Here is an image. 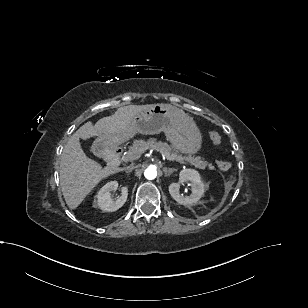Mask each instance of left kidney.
Returning a JSON list of instances; mask_svg holds the SVG:
<instances>
[{"instance_id":"1","label":"left kidney","mask_w":308,"mask_h":308,"mask_svg":"<svg viewBox=\"0 0 308 308\" xmlns=\"http://www.w3.org/2000/svg\"><path fill=\"white\" fill-rule=\"evenodd\" d=\"M189 182L192 194L190 196H183L180 194V184ZM205 185L201 181L200 175L196 170L185 169L179 174V182L172 183L169 186V193L176 202L182 205L196 204L204 195Z\"/></svg>"}]
</instances>
